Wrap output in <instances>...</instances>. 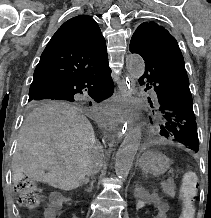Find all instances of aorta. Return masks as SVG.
I'll use <instances>...</instances> for the list:
<instances>
[{
  "label": "aorta",
  "mask_w": 211,
  "mask_h": 218,
  "mask_svg": "<svg viewBox=\"0 0 211 218\" xmlns=\"http://www.w3.org/2000/svg\"><path fill=\"white\" fill-rule=\"evenodd\" d=\"M126 68L130 77L139 79L145 71V64L141 56L129 55L126 59ZM141 129H132L124 138L115 159V172L120 180H125L131 170L135 155L140 145Z\"/></svg>",
  "instance_id": "762f6f07"
}]
</instances>
